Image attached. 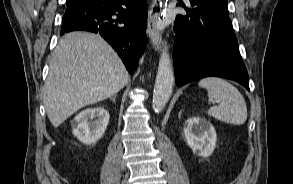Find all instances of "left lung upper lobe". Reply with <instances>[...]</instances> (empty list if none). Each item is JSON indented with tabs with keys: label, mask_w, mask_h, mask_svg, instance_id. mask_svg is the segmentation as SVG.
I'll return each instance as SVG.
<instances>
[{
	"label": "left lung upper lobe",
	"mask_w": 293,
	"mask_h": 184,
	"mask_svg": "<svg viewBox=\"0 0 293 184\" xmlns=\"http://www.w3.org/2000/svg\"><path fill=\"white\" fill-rule=\"evenodd\" d=\"M209 1L218 3V4H224L225 6H227V0H209Z\"/></svg>",
	"instance_id": "5c2ea615"
}]
</instances>
